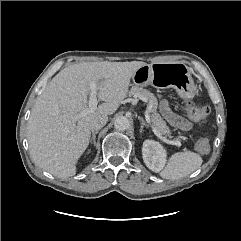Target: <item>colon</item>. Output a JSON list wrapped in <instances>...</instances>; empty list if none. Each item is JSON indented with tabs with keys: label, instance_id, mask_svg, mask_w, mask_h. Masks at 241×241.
Segmentation results:
<instances>
[{
	"label": "colon",
	"instance_id": "colon-1",
	"mask_svg": "<svg viewBox=\"0 0 241 241\" xmlns=\"http://www.w3.org/2000/svg\"><path fill=\"white\" fill-rule=\"evenodd\" d=\"M185 110H186L189 118L194 120V121L203 120L210 113L209 107H207V106L197 107V106H194L191 103L186 104ZM196 149H197L198 152H200L202 154L208 153L209 150H210V144H209L208 140L205 139V138L200 139L196 144Z\"/></svg>",
	"mask_w": 241,
	"mask_h": 241
}]
</instances>
